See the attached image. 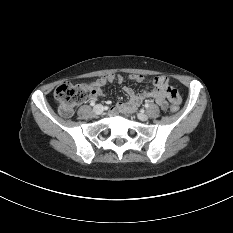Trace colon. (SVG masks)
Wrapping results in <instances>:
<instances>
[{
  "instance_id": "5ec220e1",
  "label": "colon",
  "mask_w": 233,
  "mask_h": 233,
  "mask_svg": "<svg viewBox=\"0 0 233 233\" xmlns=\"http://www.w3.org/2000/svg\"><path fill=\"white\" fill-rule=\"evenodd\" d=\"M90 86L87 84L64 83L55 90L54 97L58 110L63 117L73 115L76 106L81 104L90 94ZM172 97L171 112H177L180 104V96L176 90H170Z\"/></svg>"
}]
</instances>
